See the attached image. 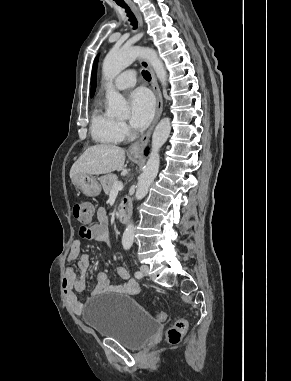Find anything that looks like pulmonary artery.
<instances>
[{"mask_svg": "<svg viewBox=\"0 0 291 381\" xmlns=\"http://www.w3.org/2000/svg\"><path fill=\"white\" fill-rule=\"evenodd\" d=\"M115 87L119 90L133 87L136 84V72L134 70H126L115 79Z\"/></svg>", "mask_w": 291, "mask_h": 381, "instance_id": "e3ab8cb5", "label": "pulmonary artery"}]
</instances>
